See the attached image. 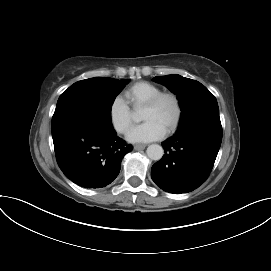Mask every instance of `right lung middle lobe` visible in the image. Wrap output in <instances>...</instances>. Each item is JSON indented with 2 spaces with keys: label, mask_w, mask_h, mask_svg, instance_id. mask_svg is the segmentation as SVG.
<instances>
[{
  "label": "right lung middle lobe",
  "mask_w": 271,
  "mask_h": 271,
  "mask_svg": "<svg viewBox=\"0 0 271 271\" xmlns=\"http://www.w3.org/2000/svg\"><path fill=\"white\" fill-rule=\"evenodd\" d=\"M129 80L95 77L81 80L63 92L52 117V132L66 125L98 119L111 124V107Z\"/></svg>",
  "instance_id": "dd1d6c3e"
}]
</instances>
